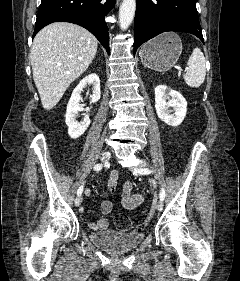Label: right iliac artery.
Here are the masks:
<instances>
[{
    "label": "right iliac artery",
    "instance_id": "obj_1",
    "mask_svg": "<svg viewBox=\"0 0 240 281\" xmlns=\"http://www.w3.org/2000/svg\"><path fill=\"white\" fill-rule=\"evenodd\" d=\"M101 169H102V164H96V165L94 166V170H95V171H99V170H101ZM82 192H83V185L78 188V190H77V195H81Z\"/></svg>",
    "mask_w": 240,
    "mask_h": 281
}]
</instances>
